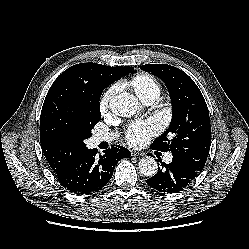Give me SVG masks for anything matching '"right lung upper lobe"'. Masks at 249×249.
<instances>
[{
  "label": "right lung upper lobe",
  "mask_w": 249,
  "mask_h": 249,
  "mask_svg": "<svg viewBox=\"0 0 249 249\" xmlns=\"http://www.w3.org/2000/svg\"><path fill=\"white\" fill-rule=\"evenodd\" d=\"M103 66L97 63L76 64L64 71L57 80L66 78L87 88H106L113 82H108L107 71ZM40 143L46 160L56 174L63 171L83 152L78 150L73 142L50 136L44 129H40Z\"/></svg>",
  "instance_id": "obj_1"
}]
</instances>
